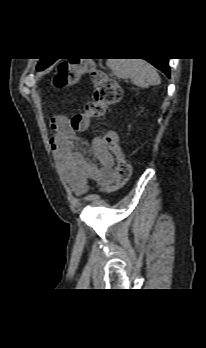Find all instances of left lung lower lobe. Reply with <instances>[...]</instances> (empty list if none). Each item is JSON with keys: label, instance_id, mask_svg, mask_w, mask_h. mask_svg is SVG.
<instances>
[{"label": "left lung lower lobe", "instance_id": "obj_1", "mask_svg": "<svg viewBox=\"0 0 206 348\" xmlns=\"http://www.w3.org/2000/svg\"><path fill=\"white\" fill-rule=\"evenodd\" d=\"M148 62H150L152 65H154L156 68L164 72L168 77H170V69L168 65V61L166 58L163 59H146Z\"/></svg>", "mask_w": 206, "mask_h": 348}]
</instances>
